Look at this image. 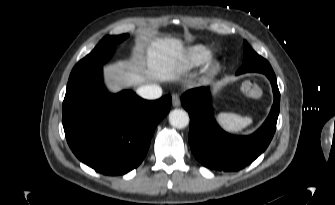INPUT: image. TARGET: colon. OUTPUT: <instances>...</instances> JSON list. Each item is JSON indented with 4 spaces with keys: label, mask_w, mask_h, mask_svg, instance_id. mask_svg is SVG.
<instances>
[{
    "label": "colon",
    "mask_w": 335,
    "mask_h": 205,
    "mask_svg": "<svg viewBox=\"0 0 335 205\" xmlns=\"http://www.w3.org/2000/svg\"><path fill=\"white\" fill-rule=\"evenodd\" d=\"M242 90L247 96L252 98H258L262 94V90L259 85L251 79L243 81Z\"/></svg>",
    "instance_id": "5ec220e1"
}]
</instances>
